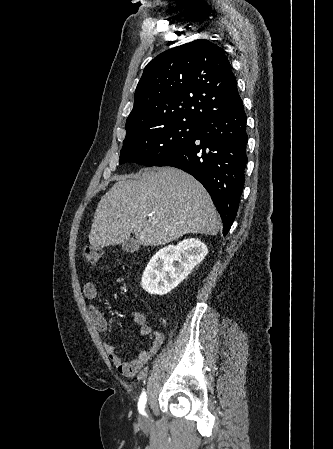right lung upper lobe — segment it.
<instances>
[{
  "mask_svg": "<svg viewBox=\"0 0 333 449\" xmlns=\"http://www.w3.org/2000/svg\"><path fill=\"white\" fill-rule=\"evenodd\" d=\"M239 98L221 47L198 39L169 49L144 69L125 140L174 121L200 123Z\"/></svg>",
  "mask_w": 333,
  "mask_h": 449,
  "instance_id": "right-lung-upper-lobe-1",
  "label": "right lung upper lobe"
}]
</instances>
